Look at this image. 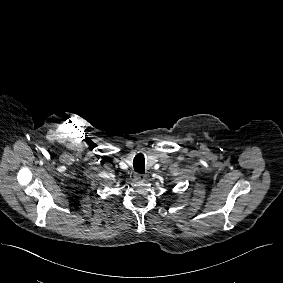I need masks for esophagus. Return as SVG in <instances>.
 I'll list each match as a JSON object with an SVG mask.
<instances>
[{
	"mask_svg": "<svg viewBox=\"0 0 283 283\" xmlns=\"http://www.w3.org/2000/svg\"><path fill=\"white\" fill-rule=\"evenodd\" d=\"M146 179L145 175L140 174V173H136L134 175V180L137 182H143Z\"/></svg>",
	"mask_w": 283,
	"mask_h": 283,
	"instance_id": "1",
	"label": "esophagus"
}]
</instances>
